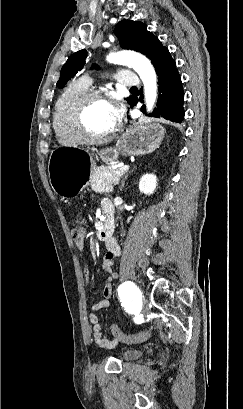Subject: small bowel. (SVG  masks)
Masks as SVG:
<instances>
[{"label": "small bowel", "mask_w": 243, "mask_h": 409, "mask_svg": "<svg viewBox=\"0 0 243 409\" xmlns=\"http://www.w3.org/2000/svg\"><path fill=\"white\" fill-rule=\"evenodd\" d=\"M104 209H111V205L108 201H105L103 204ZM106 248L107 252L105 254V257L103 259L102 263V268L103 270L108 274V277L106 279V283L103 287V299L100 300L99 302L93 304L92 306V311L96 312L100 309L107 308L110 304V298L112 296V285L113 282L117 279L118 275L117 273L113 270V261L115 258H117L120 253V247L116 240L112 237L109 241H106ZM84 276H85V282L87 285L90 283V271L88 269V265H85L84 268ZM90 323L92 325V337L95 341V343L106 349H110L116 346L118 343V339H116L113 336L106 335L102 333L101 331V325H100V320L99 317L97 316L96 313L90 314Z\"/></svg>", "instance_id": "c3829d8e"}]
</instances>
